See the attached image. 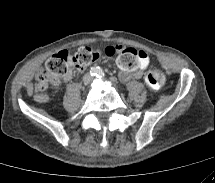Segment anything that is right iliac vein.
I'll return each instance as SVG.
<instances>
[{"label":"right iliac vein","instance_id":"right-iliac-vein-1","mask_svg":"<svg viewBox=\"0 0 215 183\" xmlns=\"http://www.w3.org/2000/svg\"><path fill=\"white\" fill-rule=\"evenodd\" d=\"M89 82H90L89 78L84 79V84H85V85H88Z\"/></svg>","mask_w":215,"mask_h":183}]
</instances>
